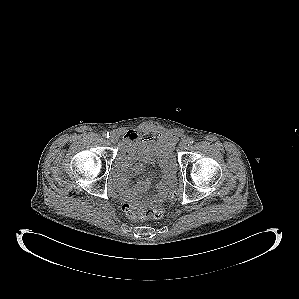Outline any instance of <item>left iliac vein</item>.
Wrapping results in <instances>:
<instances>
[{"label":"left iliac vein","mask_w":299,"mask_h":299,"mask_svg":"<svg viewBox=\"0 0 299 299\" xmlns=\"http://www.w3.org/2000/svg\"><path fill=\"white\" fill-rule=\"evenodd\" d=\"M188 148V141L187 140H182L180 142V149L186 150Z\"/></svg>","instance_id":"left-iliac-vein-1"}]
</instances>
